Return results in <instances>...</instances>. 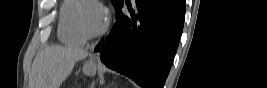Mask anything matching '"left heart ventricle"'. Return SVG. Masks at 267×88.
Listing matches in <instances>:
<instances>
[{
    "label": "left heart ventricle",
    "instance_id": "obj_1",
    "mask_svg": "<svg viewBox=\"0 0 267 88\" xmlns=\"http://www.w3.org/2000/svg\"><path fill=\"white\" fill-rule=\"evenodd\" d=\"M82 18L88 30L98 31L103 27L106 16L98 5L85 3L82 8Z\"/></svg>",
    "mask_w": 267,
    "mask_h": 88
}]
</instances>
